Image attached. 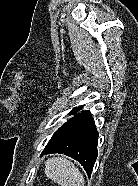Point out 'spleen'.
<instances>
[{
	"label": "spleen",
	"mask_w": 138,
	"mask_h": 186,
	"mask_svg": "<svg viewBox=\"0 0 138 186\" xmlns=\"http://www.w3.org/2000/svg\"><path fill=\"white\" fill-rule=\"evenodd\" d=\"M45 174L61 186H84L80 170L67 158L53 157L45 161Z\"/></svg>",
	"instance_id": "3e777b00"
}]
</instances>
